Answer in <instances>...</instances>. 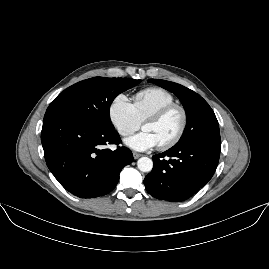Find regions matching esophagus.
<instances>
[{
    "instance_id": "1",
    "label": "esophagus",
    "mask_w": 269,
    "mask_h": 269,
    "mask_svg": "<svg viewBox=\"0 0 269 269\" xmlns=\"http://www.w3.org/2000/svg\"><path fill=\"white\" fill-rule=\"evenodd\" d=\"M141 156H142V154L133 152V157H134V159H137V158H139V157H141Z\"/></svg>"
}]
</instances>
